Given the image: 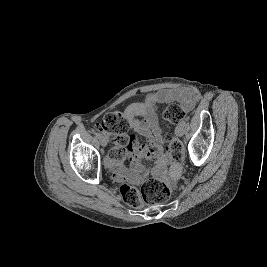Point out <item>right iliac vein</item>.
I'll use <instances>...</instances> for the list:
<instances>
[{"mask_svg":"<svg viewBox=\"0 0 267 267\" xmlns=\"http://www.w3.org/2000/svg\"><path fill=\"white\" fill-rule=\"evenodd\" d=\"M100 143H101L102 146H105L107 144V140L104 137H102L100 139Z\"/></svg>","mask_w":267,"mask_h":267,"instance_id":"right-iliac-vein-1","label":"right iliac vein"}]
</instances>
